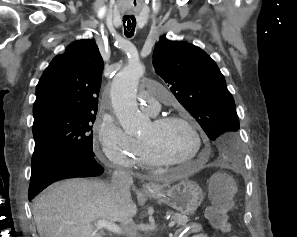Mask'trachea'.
<instances>
[{
  "label": "trachea",
  "mask_w": 297,
  "mask_h": 237,
  "mask_svg": "<svg viewBox=\"0 0 297 237\" xmlns=\"http://www.w3.org/2000/svg\"><path fill=\"white\" fill-rule=\"evenodd\" d=\"M124 30L126 37H132L134 35L135 26H136V19L135 18H123Z\"/></svg>",
  "instance_id": "obj_1"
}]
</instances>
